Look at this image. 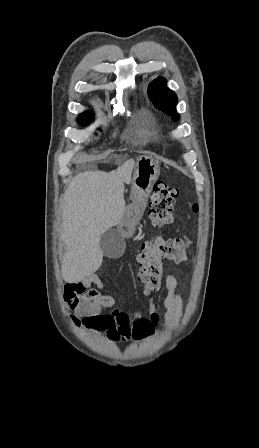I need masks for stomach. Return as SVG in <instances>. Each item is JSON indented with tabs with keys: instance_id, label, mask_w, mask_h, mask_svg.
<instances>
[{
	"instance_id": "1",
	"label": "stomach",
	"mask_w": 259,
	"mask_h": 448,
	"mask_svg": "<svg viewBox=\"0 0 259 448\" xmlns=\"http://www.w3.org/2000/svg\"><path fill=\"white\" fill-rule=\"evenodd\" d=\"M160 174L159 164L155 162L152 156H140L136 160V168L132 180L131 196L135 204L147 202L152 186ZM143 206H125L122 214V224H119L118 230L123 236H132L137 221H142Z\"/></svg>"
}]
</instances>
